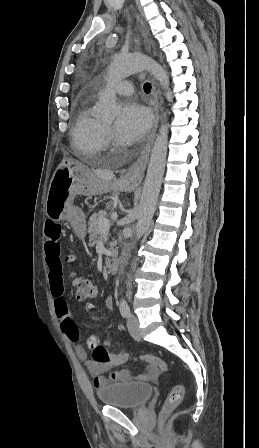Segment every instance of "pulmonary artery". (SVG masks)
Returning <instances> with one entry per match:
<instances>
[{"mask_svg":"<svg viewBox=\"0 0 259 448\" xmlns=\"http://www.w3.org/2000/svg\"><path fill=\"white\" fill-rule=\"evenodd\" d=\"M133 56H139V54H133ZM139 71L138 67L134 64L128 63V62H122L118 64V72L119 76L116 80V83L112 86V91L116 94H123L128 95L132 93L131 89L123 88L118 83L122 80H124L129 75L136 73Z\"/></svg>","mask_w":259,"mask_h":448,"instance_id":"obj_1","label":"pulmonary artery"}]
</instances>
